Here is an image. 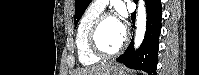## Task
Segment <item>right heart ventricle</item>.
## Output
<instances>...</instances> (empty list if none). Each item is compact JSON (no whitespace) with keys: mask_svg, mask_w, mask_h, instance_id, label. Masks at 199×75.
<instances>
[{"mask_svg":"<svg viewBox=\"0 0 199 75\" xmlns=\"http://www.w3.org/2000/svg\"><path fill=\"white\" fill-rule=\"evenodd\" d=\"M102 13V10L95 7L90 6L86 9L83 13L76 32L75 42H76V49L79 61L86 66L94 65L99 62L100 57L93 54L90 50L87 41V34L88 30L94 21V19Z\"/></svg>","mask_w":199,"mask_h":75,"instance_id":"1","label":"right heart ventricle"}]
</instances>
